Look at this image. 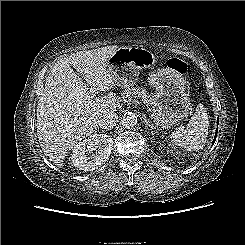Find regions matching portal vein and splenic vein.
<instances>
[{
	"instance_id": "portal-vein-and-splenic-vein-1",
	"label": "portal vein and splenic vein",
	"mask_w": 245,
	"mask_h": 245,
	"mask_svg": "<svg viewBox=\"0 0 245 245\" xmlns=\"http://www.w3.org/2000/svg\"><path fill=\"white\" fill-rule=\"evenodd\" d=\"M97 90L94 88V87H91L90 88V93H91V95H92V97H95L96 96V92Z\"/></svg>"
}]
</instances>
